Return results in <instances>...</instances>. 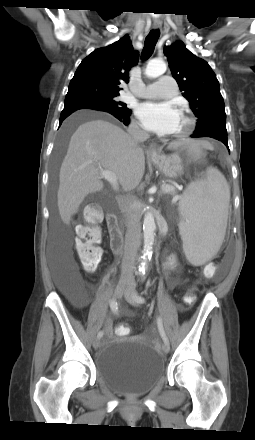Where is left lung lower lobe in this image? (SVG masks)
Wrapping results in <instances>:
<instances>
[{"label":"left lung lower lobe","instance_id":"0a47b994","mask_svg":"<svg viewBox=\"0 0 255 440\" xmlns=\"http://www.w3.org/2000/svg\"><path fill=\"white\" fill-rule=\"evenodd\" d=\"M190 137L192 138L211 137L221 141L229 150L228 142H227V133L212 130V131H205L200 133H193Z\"/></svg>","mask_w":255,"mask_h":440}]
</instances>
